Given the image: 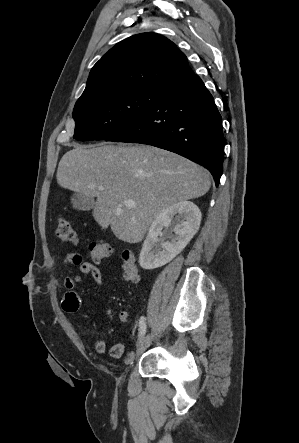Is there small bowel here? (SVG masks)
Segmentation results:
<instances>
[{"label": "small bowel", "mask_w": 299, "mask_h": 443, "mask_svg": "<svg viewBox=\"0 0 299 443\" xmlns=\"http://www.w3.org/2000/svg\"><path fill=\"white\" fill-rule=\"evenodd\" d=\"M66 263H71L79 266V275H74L67 277L64 280V287L67 289V293L62 303V308L66 312H76L80 307V296L74 291V288L81 283L82 276L90 275L93 281L98 285L102 286L103 276L98 267L93 263L84 262L80 254H67L64 258ZM108 314L111 315L110 311ZM130 314L128 312H121L120 319L126 321L129 319ZM94 350L98 354H109L114 358H121L125 354V346L122 343H115L110 348H108L104 340H96L94 342ZM132 355L128 354L126 359L131 360Z\"/></svg>", "instance_id": "obj_1"}]
</instances>
